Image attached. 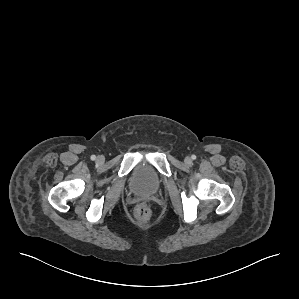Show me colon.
Returning <instances> with one entry per match:
<instances>
[{"label": "colon", "mask_w": 299, "mask_h": 299, "mask_svg": "<svg viewBox=\"0 0 299 299\" xmlns=\"http://www.w3.org/2000/svg\"><path fill=\"white\" fill-rule=\"evenodd\" d=\"M151 215V209L148 204L140 203L134 208V216L138 220H147Z\"/></svg>", "instance_id": "1"}]
</instances>
